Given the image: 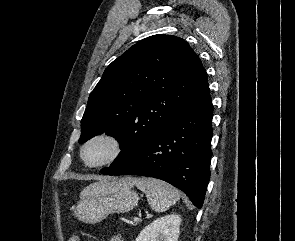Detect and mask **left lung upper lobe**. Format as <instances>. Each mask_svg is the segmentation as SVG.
Segmentation results:
<instances>
[{
    "label": "left lung upper lobe",
    "mask_w": 295,
    "mask_h": 241,
    "mask_svg": "<svg viewBox=\"0 0 295 241\" xmlns=\"http://www.w3.org/2000/svg\"><path fill=\"white\" fill-rule=\"evenodd\" d=\"M210 95L207 74L189 44L172 35H153L114 60L89 96L81 120L84 143L106 133L121 152L107 173L121 166L160 129Z\"/></svg>",
    "instance_id": "obj_1"
}]
</instances>
